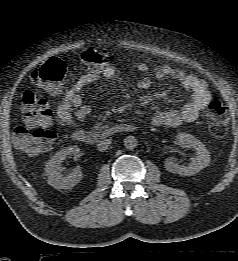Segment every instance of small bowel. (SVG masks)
<instances>
[{"mask_svg": "<svg viewBox=\"0 0 238 261\" xmlns=\"http://www.w3.org/2000/svg\"><path fill=\"white\" fill-rule=\"evenodd\" d=\"M140 73L148 71L149 66L145 62H138L135 66ZM117 72V67L108 65L102 73L89 71L84 73L79 80L63 96L62 101L55 109L57 124L65 127H73L76 121L86 120L92 113L90 105L84 102L81 95L84 87L96 82L101 76L112 78ZM155 79L163 80L170 78L179 83L190 94V100L178 110H168L156 113L152 118L155 126L176 127L186 122L198 119L201 112L211 99L207 84L194 75L187 74L184 70L165 64H155L152 67ZM150 78H142L138 82V88L146 91L152 87Z\"/></svg>", "mask_w": 238, "mask_h": 261, "instance_id": "c3829d8e", "label": "small bowel"}]
</instances>
